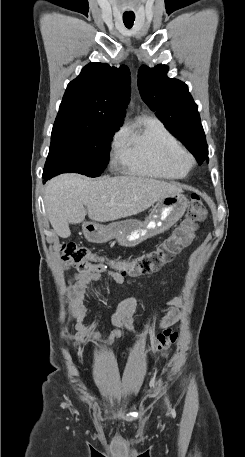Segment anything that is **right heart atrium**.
<instances>
[{"mask_svg":"<svg viewBox=\"0 0 245 457\" xmlns=\"http://www.w3.org/2000/svg\"><path fill=\"white\" fill-rule=\"evenodd\" d=\"M119 139H120V134L115 133L112 138V144L114 145V147L119 143Z\"/></svg>","mask_w":245,"mask_h":457,"instance_id":"obj_1","label":"right heart atrium"}]
</instances>
